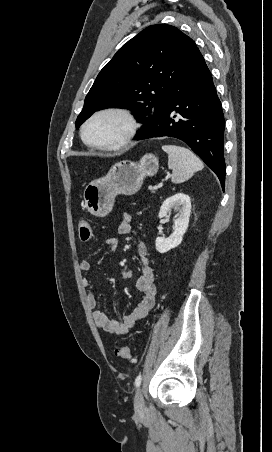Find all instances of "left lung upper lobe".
Instances as JSON below:
<instances>
[{"mask_svg": "<svg viewBox=\"0 0 272 452\" xmlns=\"http://www.w3.org/2000/svg\"><path fill=\"white\" fill-rule=\"evenodd\" d=\"M197 49L194 41L174 26L157 24L142 30L98 74L76 128L105 108L133 110L143 129L155 124Z\"/></svg>", "mask_w": 272, "mask_h": 452, "instance_id": "obj_1", "label": "left lung upper lobe"}]
</instances>
